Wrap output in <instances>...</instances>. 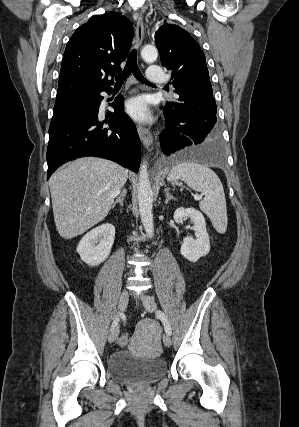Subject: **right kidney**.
<instances>
[{"label": "right kidney", "mask_w": 299, "mask_h": 427, "mask_svg": "<svg viewBox=\"0 0 299 427\" xmlns=\"http://www.w3.org/2000/svg\"><path fill=\"white\" fill-rule=\"evenodd\" d=\"M115 227L110 223L102 224L83 236L77 246L81 260L89 266H97L105 261L113 246Z\"/></svg>", "instance_id": "obj_1"}]
</instances>
